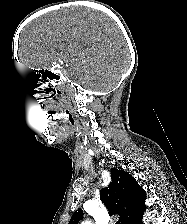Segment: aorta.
I'll use <instances>...</instances> for the list:
<instances>
[{
	"mask_svg": "<svg viewBox=\"0 0 187 224\" xmlns=\"http://www.w3.org/2000/svg\"><path fill=\"white\" fill-rule=\"evenodd\" d=\"M82 224H92L90 221H84Z\"/></svg>",
	"mask_w": 187,
	"mask_h": 224,
	"instance_id": "obj_1",
	"label": "aorta"
}]
</instances>
